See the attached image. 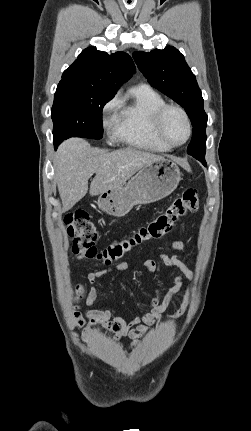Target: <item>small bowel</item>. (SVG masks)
I'll return each instance as SVG.
<instances>
[{
  "label": "small bowel",
  "instance_id": "obj_1",
  "mask_svg": "<svg viewBox=\"0 0 251 431\" xmlns=\"http://www.w3.org/2000/svg\"><path fill=\"white\" fill-rule=\"evenodd\" d=\"M185 225H181V229L184 230ZM185 243L182 241H175L172 243V249L175 251H181L185 247ZM160 259L167 267L174 268L177 270L175 277V284L169 290V292L163 297H160V293L157 290L155 295L148 301L149 311L142 316H133L130 318H124L114 311L106 310H89L86 313V317H83L81 312L76 308L73 311V317L78 328L83 329L86 333L89 328L93 325H101L107 330L113 332L114 339L116 341L123 337L131 339L130 347L136 346L142 337L149 331V329L158 323L163 316V313L167 310L173 297L180 291L182 287V276L188 279L192 278V269L190 263L178 254L168 255L166 253L159 254ZM145 269L151 274L155 275L158 272L157 262L153 259H148L144 262ZM129 268L125 261H120L112 267L104 268L96 271H92L87 275L88 282L92 285L88 296L86 298V304L91 306L95 303L97 298V290L94 287L96 280L102 276L116 273L125 272ZM189 301V292H187L179 308L171 314L170 318H177L182 315Z\"/></svg>",
  "mask_w": 251,
  "mask_h": 431
}]
</instances>
